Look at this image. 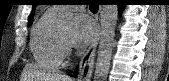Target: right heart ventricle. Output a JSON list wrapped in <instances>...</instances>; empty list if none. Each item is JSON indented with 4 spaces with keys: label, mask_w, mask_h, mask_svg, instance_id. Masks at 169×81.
Here are the masks:
<instances>
[{
    "label": "right heart ventricle",
    "mask_w": 169,
    "mask_h": 81,
    "mask_svg": "<svg viewBox=\"0 0 169 81\" xmlns=\"http://www.w3.org/2000/svg\"><path fill=\"white\" fill-rule=\"evenodd\" d=\"M56 11L47 10L36 22L31 32L30 49L35 61L48 68L58 67L62 61L59 32L54 21Z\"/></svg>",
    "instance_id": "obj_1"
}]
</instances>
